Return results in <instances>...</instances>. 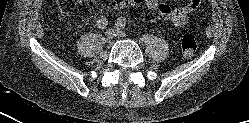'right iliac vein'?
Instances as JSON below:
<instances>
[{
	"label": "right iliac vein",
	"instance_id": "right-iliac-vein-1",
	"mask_svg": "<svg viewBox=\"0 0 249 123\" xmlns=\"http://www.w3.org/2000/svg\"><path fill=\"white\" fill-rule=\"evenodd\" d=\"M115 36L114 30L109 29L105 32V37L107 40H111Z\"/></svg>",
	"mask_w": 249,
	"mask_h": 123
}]
</instances>
